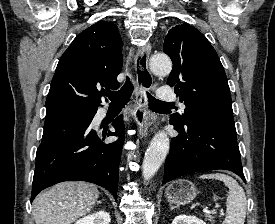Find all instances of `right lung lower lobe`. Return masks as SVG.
I'll return each instance as SVG.
<instances>
[{"mask_svg": "<svg viewBox=\"0 0 275 224\" xmlns=\"http://www.w3.org/2000/svg\"><path fill=\"white\" fill-rule=\"evenodd\" d=\"M94 115L87 119L65 117L45 121L36 153L31 201L43 189L72 180L100 185L117 200L118 164L124 143L123 116L113 121L116 131L111 132L108 128L94 130L91 126ZM109 136L119 139L104 143Z\"/></svg>", "mask_w": 275, "mask_h": 224, "instance_id": "obj_1", "label": "right lung lower lobe"}]
</instances>
